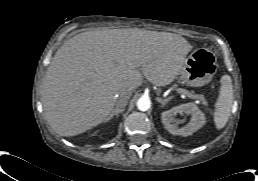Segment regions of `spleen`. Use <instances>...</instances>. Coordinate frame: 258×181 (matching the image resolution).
<instances>
[{
	"label": "spleen",
	"mask_w": 258,
	"mask_h": 181,
	"mask_svg": "<svg viewBox=\"0 0 258 181\" xmlns=\"http://www.w3.org/2000/svg\"><path fill=\"white\" fill-rule=\"evenodd\" d=\"M233 85L229 75H224L221 78V87L219 91V97L215 103L214 122L218 130L222 129L231 114V108L233 105Z\"/></svg>",
	"instance_id": "spleen-1"
}]
</instances>
